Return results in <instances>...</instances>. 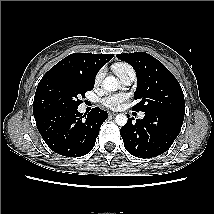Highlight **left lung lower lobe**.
<instances>
[{
  "instance_id": "0a47b994",
  "label": "left lung lower lobe",
  "mask_w": 214,
  "mask_h": 214,
  "mask_svg": "<svg viewBox=\"0 0 214 214\" xmlns=\"http://www.w3.org/2000/svg\"><path fill=\"white\" fill-rule=\"evenodd\" d=\"M133 118L120 129L126 150L135 157L152 158L167 151L178 136L184 115L145 112L141 120Z\"/></svg>"
}]
</instances>
